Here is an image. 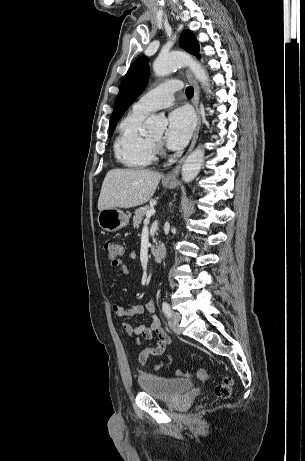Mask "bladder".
<instances>
[{
	"instance_id": "obj_1",
	"label": "bladder",
	"mask_w": 305,
	"mask_h": 461,
	"mask_svg": "<svg viewBox=\"0 0 305 461\" xmlns=\"http://www.w3.org/2000/svg\"><path fill=\"white\" fill-rule=\"evenodd\" d=\"M137 383L142 392L173 401L191 390L192 382L186 378H170L156 374H141Z\"/></svg>"
}]
</instances>
